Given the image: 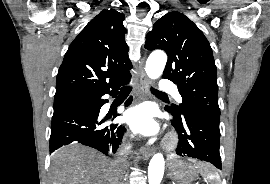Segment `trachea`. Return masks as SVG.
<instances>
[{"instance_id":"3493384b","label":"trachea","mask_w":270,"mask_h":184,"mask_svg":"<svg viewBox=\"0 0 270 184\" xmlns=\"http://www.w3.org/2000/svg\"><path fill=\"white\" fill-rule=\"evenodd\" d=\"M131 90V87L130 86H126V87H123L122 88V91H130ZM154 92H156L157 94H160V95H165L164 93L158 91V90H154Z\"/></svg>"}]
</instances>
